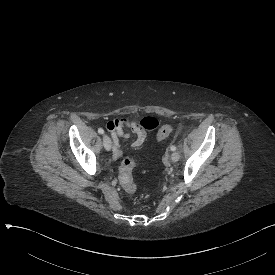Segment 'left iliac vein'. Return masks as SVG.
Listing matches in <instances>:
<instances>
[{
	"mask_svg": "<svg viewBox=\"0 0 275 275\" xmlns=\"http://www.w3.org/2000/svg\"><path fill=\"white\" fill-rule=\"evenodd\" d=\"M180 158V155L177 151H174L172 154H171V160L173 162H177Z\"/></svg>",
	"mask_w": 275,
	"mask_h": 275,
	"instance_id": "1",
	"label": "left iliac vein"
}]
</instances>
